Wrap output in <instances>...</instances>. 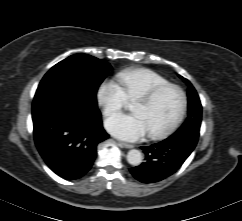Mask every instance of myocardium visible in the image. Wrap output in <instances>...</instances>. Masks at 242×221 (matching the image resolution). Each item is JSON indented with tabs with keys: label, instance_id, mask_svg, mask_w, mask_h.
<instances>
[{
	"label": "myocardium",
	"instance_id": "1",
	"mask_svg": "<svg viewBox=\"0 0 242 221\" xmlns=\"http://www.w3.org/2000/svg\"><path fill=\"white\" fill-rule=\"evenodd\" d=\"M168 89L176 90L179 93V96H180L179 111H178L176 117L173 119V121L167 127H165L162 130L156 131V132L148 133V137L150 139L155 140V139L164 138V137L170 135L179 126V124L183 120L186 110H187V104H188L187 95H186L185 91L179 85L173 84V83H166V84L157 86L156 88L152 89L145 95H143L135 100V102L150 104V103L154 102L163 92H165Z\"/></svg>",
	"mask_w": 242,
	"mask_h": 221
}]
</instances>
